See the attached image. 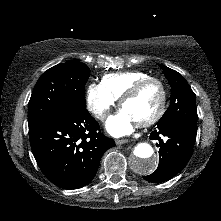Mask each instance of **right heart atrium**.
Returning a JSON list of instances; mask_svg holds the SVG:
<instances>
[{
    "instance_id": "1",
    "label": "right heart atrium",
    "mask_w": 221,
    "mask_h": 221,
    "mask_svg": "<svg viewBox=\"0 0 221 221\" xmlns=\"http://www.w3.org/2000/svg\"><path fill=\"white\" fill-rule=\"evenodd\" d=\"M87 106L92 114L104 121L116 104V99L100 83H92L87 88Z\"/></svg>"
}]
</instances>
